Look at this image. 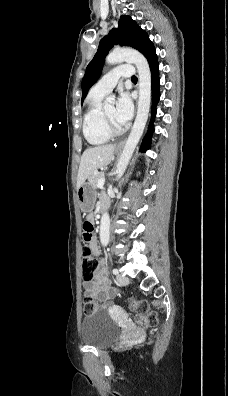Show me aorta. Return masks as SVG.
Listing matches in <instances>:
<instances>
[{
  "instance_id": "1",
  "label": "aorta",
  "mask_w": 228,
  "mask_h": 396,
  "mask_svg": "<svg viewBox=\"0 0 228 396\" xmlns=\"http://www.w3.org/2000/svg\"><path fill=\"white\" fill-rule=\"evenodd\" d=\"M122 62L133 63L137 68L139 80V100L134 125L117 164V179H119L124 174L129 160L143 134L151 103V72L146 58L139 51L128 48L113 50L106 57V63L109 65ZM114 102L115 96L110 95L105 99L104 104L108 105L113 104ZM109 240L110 217L107 212H104L102 214L100 224V242L103 246H107Z\"/></svg>"
}]
</instances>
